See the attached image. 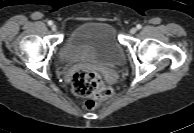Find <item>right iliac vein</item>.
Masks as SVG:
<instances>
[{
    "label": "right iliac vein",
    "mask_w": 194,
    "mask_h": 133,
    "mask_svg": "<svg viewBox=\"0 0 194 133\" xmlns=\"http://www.w3.org/2000/svg\"><path fill=\"white\" fill-rule=\"evenodd\" d=\"M51 29H52V31H56L57 30V26L56 25H52Z\"/></svg>",
    "instance_id": "obj_1"
}]
</instances>
